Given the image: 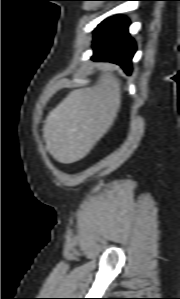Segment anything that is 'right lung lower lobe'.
I'll return each instance as SVG.
<instances>
[{
	"label": "right lung lower lobe",
	"mask_w": 180,
	"mask_h": 299,
	"mask_svg": "<svg viewBox=\"0 0 180 299\" xmlns=\"http://www.w3.org/2000/svg\"><path fill=\"white\" fill-rule=\"evenodd\" d=\"M130 22L123 16L104 20L94 31L93 59L120 65L131 74V60L136 50L134 40L128 33Z\"/></svg>",
	"instance_id": "1"
}]
</instances>
